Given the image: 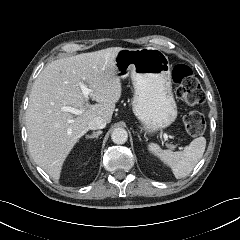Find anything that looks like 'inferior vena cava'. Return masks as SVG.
<instances>
[{
  "label": "inferior vena cava",
  "mask_w": 240,
  "mask_h": 240,
  "mask_svg": "<svg viewBox=\"0 0 240 240\" xmlns=\"http://www.w3.org/2000/svg\"><path fill=\"white\" fill-rule=\"evenodd\" d=\"M106 126V120L100 116H97L89 121L88 128L91 130L103 129Z\"/></svg>",
  "instance_id": "obj_1"
}]
</instances>
